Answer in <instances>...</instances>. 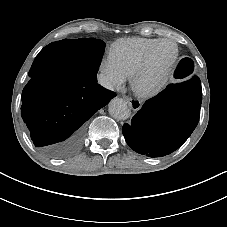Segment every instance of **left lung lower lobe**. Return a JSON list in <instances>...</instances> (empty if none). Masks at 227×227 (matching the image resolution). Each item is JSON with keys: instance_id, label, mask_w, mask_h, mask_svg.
I'll list each match as a JSON object with an SVG mask.
<instances>
[{"instance_id": "left-lung-lower-lobe-1", "label": "left lung lower lobe", "mask_w": 227, "mask_h": 227, "mask_svg": "<svg viewBox=\"0 0 227 227\" xmlns=\"http://www.w3.org/2000/svg\"><path fill=\"white\" fill-rule=\"evenodd\" d=\"M193 63L181 62L175 77L192 73ZM200 79L193 76L180 83L170 84L157 96L147 100L132 118L124 124L127 144L137 153L162 157L178 149L198 124L202 102Z\"/></svg>"}]
</instances>
